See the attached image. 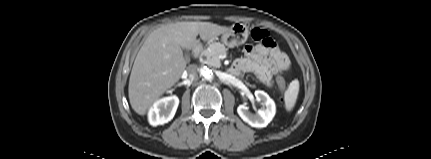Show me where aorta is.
I'll return each mask as SVG.
<instances>
[{"mask_svg": "<svg viewBox=\"0 0 431 159\" xmlns=\"http://www.w3.org/2000/svg\"><path fill=\"white\" fill-rule=\"evenodd\" d=\"M200 72L203 79H205L207 82H212L215 79V74L206 66H203L200 69Z\"/></svg>", "mask_w": 431, "mask_h": 159, "instance_id": "obj_1", "label": "aorta"}]
</instances>
